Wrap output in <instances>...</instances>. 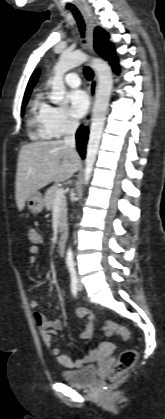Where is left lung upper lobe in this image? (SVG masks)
I'll use <instances>...</instances> for the list:
<instances>
[{"label":"left lung upper lobe","instance_id":"obj_1","mask_svg":"<svg viewBox=\"0 0 165 419\" xmlns=\"http://www.w3.org/2000/svg\"><path fill=\"white\" fill-rule=\"evenodd\" d=\"M109 35L102 28L97 27L94 32V48L96 52L109 62L115 58L112 43L108 41Z\"/></svg>","mask_w":165,"mask_h":419}]
</instances>
